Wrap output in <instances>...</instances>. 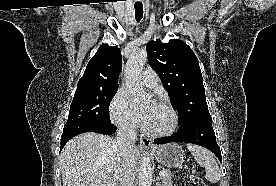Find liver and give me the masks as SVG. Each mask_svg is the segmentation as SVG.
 <instances>
[{"label":"liver","instance_id":"6515ba94","mask_svg":"<svg viewBox=\"0 0 276 186\" xmlns=\"http://www.w3.org/2000/svg\"><path fill=\"white\" fill-rule=\"evenodd\" d=\"M140 156L135 146L131 153ZM122 157L115 141L98 133H82L71 139L60 154L63 186H117Z\"/></svg>","mask_w":276,"mask_h":186}]
</instances>
